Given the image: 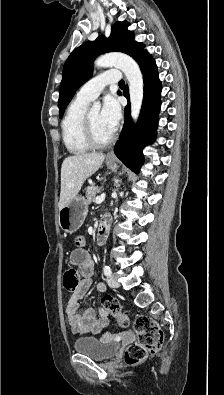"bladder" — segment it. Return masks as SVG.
Masks as SVG:
<instances>
[{"instance_id":"1","label":"bladder","mask_w":224,"mask_h":395,"mask_svg":"<svg viewBox=\"0 0 224 395\" xmlns=\"http://www.w3.org/2000/svg\"><path fill=\"white\" fill-rule=\"evenodd\" d=\"M74 349L79 354H84L97 361H105L118 351L115 343L102 338L80 337L74 341Z\"/></svg>"}]
</instances>
